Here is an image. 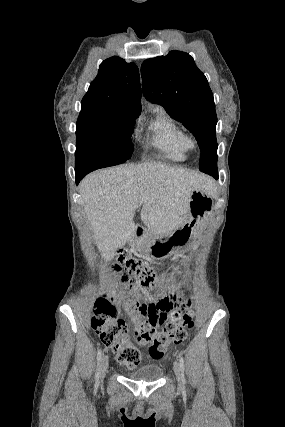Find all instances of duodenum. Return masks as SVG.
Listing matches in <instances>:
<instances>
[{"label": "duodenum", "mask_w": 285, "mask_h": 427, "mask_svg": "<svg viewBox=\"0 0 285 427\" xmlns=\"http://www.w3.org/2000/svg\"><path fill=\"white\" fill-rule=\"evenodd\" d=\"M132 241L130 243L140 246L144 244L146 238V231L142 226H136L132 231Z\"/></svg>", "instance_id": "410a0bca"}]
</instances>
